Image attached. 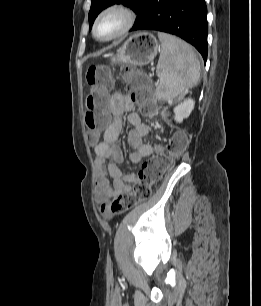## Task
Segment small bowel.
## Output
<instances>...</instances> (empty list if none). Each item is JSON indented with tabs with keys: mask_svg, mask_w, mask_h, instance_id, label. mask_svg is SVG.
I'll use <instances>...</instances> for the list:
<instances>
[{
	"mask_svg": "<svg viewBox=\"0 0 261 306\" xmlns=\"http://www.w3.org/2000/svg\"><path fill=\"white\" fill-rule=\"evenodd\" d=\"M109 107L113 120L95 147L96 198L101 203L100 211L104 216H108V201L120 193L128 192L136 179L134 173H123L119 168V164L124 160L123 152L117 144L122 131L121 116L128 113V121L132 125L128 133V142L132 147L129 159L132 163H139L143 158L163 148L160 144L152 145L144 141V138L152 133V128L132 111L134 102L129 95L114 92L110 97Z\"/></svg>",
	"mask_w": 261,
	"mask_h": 306,
	"instance_id": "c3829d8e",
	"label": "small bowel"
}]
</instances>
